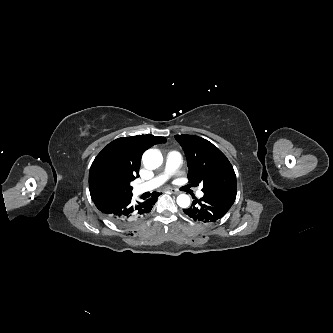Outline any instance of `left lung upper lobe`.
Wrapping results in <instances>:
<instances>
[{
	"instance_id": "obj_1",
	"label": "left lung upper lobe",
	"mask_w": 333,
	"mask_h": 333,
	"mask_svg": "<svg viewBox=\"0 0 333 333\" xmlns=\"http://www.w3.org/2000/svg\"><path fill=\"white\" fill-rule=\"evenodd\" d=\"M182 146L190 182L203 183L204 195L234 203L236 175L227 157L211 142L193 135H175Z\"/></svg>"
}]
</instances>
